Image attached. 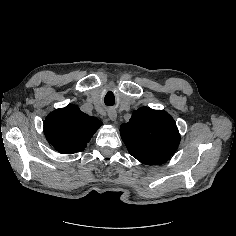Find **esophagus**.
Listing matches in <instances>:
<instances>
[{
	"label": "esophagus",
	"mask_w": 236,
	"mask_h": 236,
	"mask_svg": "<svg viewBox=\"0 0 236 236\" xmlns=\"http://www.w3.org/2000/svg\"><path fill=\"white\" fill-rule=\"evenodd\" d=\"M108 117L111 121H116L117 118V112L115 110H110L108 112Z\"/></svg>",
	"instance_id": "esophagus-1"
}]
</instances>
